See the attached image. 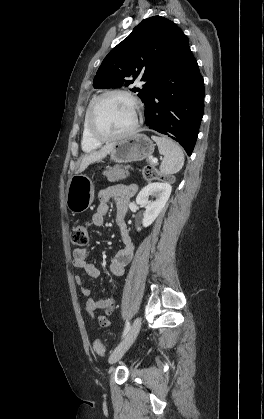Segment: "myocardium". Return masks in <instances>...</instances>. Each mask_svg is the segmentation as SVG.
Segmentation results:
<instances>
[{
	"instance_id": "1",
	"label": "myocardium",
	"mask_w": 264,
	"mask_h": 419,
	"mask_svg": "<svg viewBox=\"0 0 264 419\" xmlns=\"http://www.w3.org/2000/svg\"><path fill=\"white\" fill-rule=\"evenodd\" d=\"M113 95H121V96H125L128 99H130L133 104L135 105L136 108V116H135V121L133 126L120 134H115V135H105L100 133L95 126V114L96 111L100 105V103L107 97L109 96H113ZM142 118V106L140 101L129 91L127 90H122V89H113V90H109L106 91L100 95H98L94 101L92 102L89 112H88V117H87V128H88V132L90 134V136L100 142H112V141H119L122 139H126L132 135H134L136 133V131L139 128V124Z\"/></svg>"
}]
</instances>
